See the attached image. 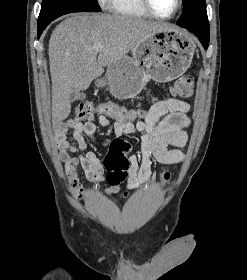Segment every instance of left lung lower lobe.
Here are the masks:
<instances>
[{
    "instance_id": "obj_1",
    "label": "left lung lower lobe",
    "mask_w": 247,
    "mask_h": 280,
    "mask_svg": "<svg viewBox=\"0 0 247 280\" xmlns=\"http://www.w3.org/2000/svg\"><path fill=\"white\" fill-rule=\"evenodd\" d=\"M177 24L179 25L178 22H177ZM189 30L192 31L198 37V39L200 40V42L203 45V47L205 49H207L208 48V44H209V40H210L209 35L202 34V33H200L199 31H197L195 29H189Z\"/></svg>"
}]
</instances>
